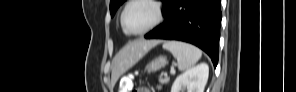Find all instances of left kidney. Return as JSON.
Instances as JSON below:
<instances>
[{
    "instance_id": "5707ae66",
    "label": "left kidney",
    "mask_w": 296,
    "mask_h": 92,
    "mask_svg": "<svg viewBox=\"0 0 296 92\" xmlns=\"http://www.w3.org/2000/svg\"><path fill=\"white\" fill-rule=\"evenodd\" d=\"M209 67L201 63L180 74L174 81L171 92H204L208 80Z\"/></svg>"
}]
</instances>
